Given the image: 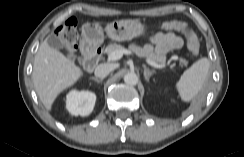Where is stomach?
Instances as JSON below:
<instances>
[{"label":"stomach","mask_w":244,"mask_h":157,"mask_svg":"<svg viewBox=\"0 0 244 157\" xmlns=\"http://www.w3.org/2000/svg\"><path fill=\"white\" fill-rule=\"evenodd\" d=\"M104 31L114 41H129L144 35L146 26L137 19L116 20L103 30L98 23H86L82 27V45L97 47L104 41Z\"/></svg>","instance_id":"obj_1"}]
</instances>
